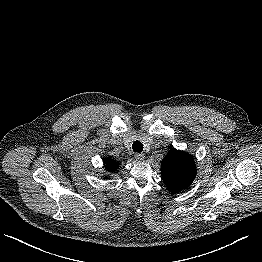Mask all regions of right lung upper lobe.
Segmentation results:
<instances>
[{
    "label": "right lung upper lobe",
    "instance_id": "cb5924a9",
    "mask_svg": "<svg viewBox=\"0 0 262 262\" xmlns=\"http://www.w3.org/2000/svg\"><path fill=\"white\" fill-rule=\"evenodd\" d=\"M104 163H105L106 169L110 172H115L120 165V163L118 161H113L109 158H106L104 160Z\"/></svg>",
    "mask_w": 262,
    "mask_h": 262
}]
</instances>
